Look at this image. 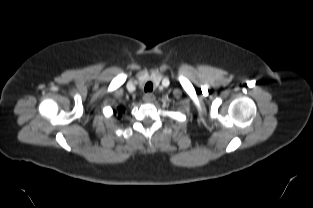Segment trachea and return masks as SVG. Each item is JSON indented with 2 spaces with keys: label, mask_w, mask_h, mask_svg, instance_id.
<instances>
[{
  "label": "trachea",
  "mask_w": 313,
  "mask_h": 208,
  "mask_svg": "<svg viewBox=\"0 0 313 208\" xmlns=\"http://www.w3.org/2000/svg\"><path fill=\"white\" fill-rule=\"evenodd\" d=\"M153 90V84L151 82H148L145 85V92H151Z\"/></svg>",
  "instance_id": "obj_1"
}]
</instances>
